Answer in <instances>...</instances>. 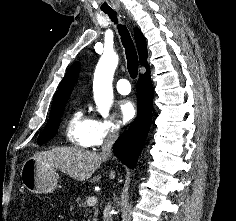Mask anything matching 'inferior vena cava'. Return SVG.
Segmentation results:
<instances>
[{"mask_svg": "<svg viewBox=\"0 0 236 221\" xmlns=\"http://www.w3.org/2000/svg\"><path fill=\"white\" fill-rule=\"evenodd\" d=\"M119 136V130L118 129H112L108 135L106 136L104 143L102 145V155L106 157L112 156V147L114 142ZM111 211V204H108L103 212V221H113L112 215L110 213Z\"/></svg>", "mask_w": 236, "mask_h": 221, "instance_id": "inferior-vena-cava-1", "label": "inferior vena cava"}]
</instances>
